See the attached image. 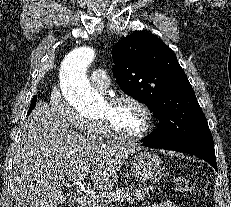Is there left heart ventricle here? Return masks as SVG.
I'll list each match as a JSON object with an SVG mask.
<instances>
[{"instance_id": "obj_1", "label": "left heart ventricle", "mask_w": 231, "mask_h": 207, "mask_svg": "<svg viewBox=\"0 0 231 207\" xmlns=\"http://www.w3.org/2000/svg\"><path fill=\"white\" fill-rule=\"evenodd\" d=\"M98 117H107L112 126L118 132L125 135H134L140 132L145 125V118L142 111L134 104L128 102L111 107L104 101Z\"/></svg>"}]
</instances>
